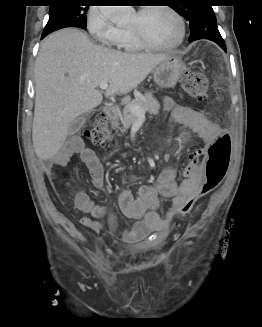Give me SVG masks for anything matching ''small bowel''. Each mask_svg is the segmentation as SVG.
<instances>
[{"label": "small bowel", "instance_id": "small-bowel-1", "mask_svg": "<svg viewBox=\"0 0 262 327\" xmlns=\"http://www.w3.org/2000/svg\"><path fill=\"white\" fill-rule=\"evenodd\" d=\"M163 108L171 111L176 122L197 133L207 148L216 143L221 128L210 121L201 111L178 104L172 98L163 100ZM79 154L82 162L87 166L94 187L101 189L104 184V168L94 150L87 147L78 136L71 137L59 153L45 166V174L49 181L56 179L54 166H64L72 155ZM206 159L205 153H185V170H182V181L178 182L176 171L168 168L159 176L156 185L143 186L135 196L129 190H122L117 197L120 211L129 219L136 222L132 227L122 228L115 214L106 213L105 209L97 206L85 192L75 196V207L85 213L81 223L94 230L101 229V223L92 217L101 218L113 234H118L123 240L135 242L143 239L150 232L164 231L170 220L177 214H182L181 206H185L190 194L197 191L200 182L204 181V167L201 160ZM189 160V162L187 161ZM171 200L170 208L165 218L158 213L159 198Z\"/></svg>", "mask_w": 262, "mask_h": 327}]
</instances>
